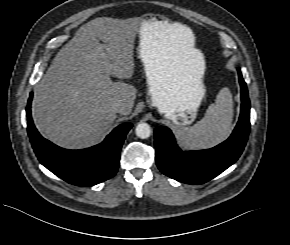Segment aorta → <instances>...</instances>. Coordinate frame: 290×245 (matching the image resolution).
Instances as JSON below:
<instances>
[{
  "instance_id": "aorta-1",
  "label": "aorta",
  "mask_w": 290,
  "mask_h": 245,
  "mask_svg": "<svg viewBox=\"0 0 290 245\" xmlns=\"http://www.w3.org/2000/svg\"><path fill=\"white\" fill-rule=\"evenodd\" d=\"M135 132L139 138L147 139L150 137L152 130L149 124L142 122L136 126Z\"/></svg>"
}]
</instances>
